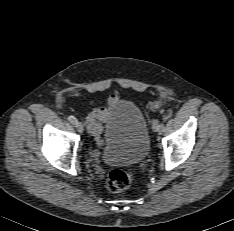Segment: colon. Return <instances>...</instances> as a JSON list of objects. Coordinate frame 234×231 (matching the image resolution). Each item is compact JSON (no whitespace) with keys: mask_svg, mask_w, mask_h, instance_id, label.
Masks as SVG:
<instances>
[{"mask_svg":"<svg viewBox=\"0 0 234 231\" xmlns=\"http://www.w3.org/2000/svg\"><path fill=\"white\" fill-rule=\"evenodd\" d=\"M133 180V174L129 170L113 169L107 176V187L112 192H121L127 189Z\"/></svg>","mask_w":234,"mask_h":231,"instance_id":"1","label":"colon"}]
</instances>
